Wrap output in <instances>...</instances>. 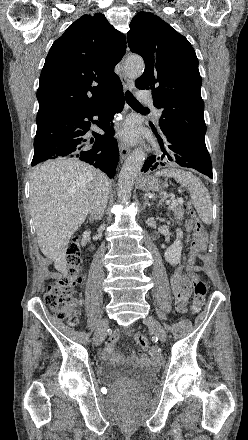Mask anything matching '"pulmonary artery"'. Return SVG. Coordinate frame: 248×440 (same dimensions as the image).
<instances>
[{
    "label": "pulmonary artery",
    "instance_id": "e3ab8cb5",
    "mask_svg": "<svg viewBox=\"0 0 248 440\" xmlns=\"http://www.w3.org/2000/svg\"><path fill=\"white\" fill-rule=\"evenodd\" d=\"M138 97L145 102H150L148 95L143 91L138 92ZM159 116H160V113L156 112L157 119L159 118Z\"/></svg>",
    "mask_w": 248,
    "mask_h": 440
}]
</instances>
